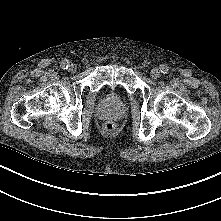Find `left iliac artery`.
<instances>
[{"instance_id": "left-iliac-artery-1", "label": "left iliac artery", "mask_w": 221, "mask_h": 221, "mask_svg": "<svg viewBox=\"0 0 221 221\" xmlns=\"http://www.w3.org/2000/svg\"><path fill=\"white\" fill-rule=\"evenodd\" d=\"M160 71H161V73H163V74H167L168 71H169V69H168L167 66L163 65V66L160 67Z\"/></svg>"}]
</instances>
